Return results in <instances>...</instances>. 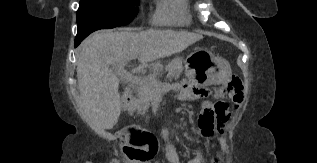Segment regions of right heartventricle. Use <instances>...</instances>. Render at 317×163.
Listing matches in <instances>:
<instances>
[{
  "mask_svg": "<svg viewBox=\"0 0 317 163\" xmlns=\"http://www.w3.org/2000/svg\"><path fill=\"white\" fill-rule=\"evenodd\" d=\"M190 22L187 0H155L152 23L159 26H183Z\"/></svg>",
  "mask_w": 317,
  "mask_h": 163,
  "instance_id": "e07e8e85",
  "label": "right heart ventricle"
}]
</instances>
